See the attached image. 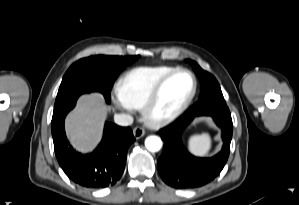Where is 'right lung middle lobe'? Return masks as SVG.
<instances>
[{"instance_id": "right-lung-middle-lobe-1", "label": "right lung middle lobe", "mask_w": 299, "mask_h": 205, "mask_svg": "<svg viewBox=\"0 0 299 205\" xmlns=\"http://www.w3.org/2000/svg\"><path fill=\"white\" fill-rule=\"evenodd\" d=\"M139 57L140 55L127 57L97 55L75 62L62 79L53 113L76 101L83 93L97 91L110 101L114 79Z\"/></svg>"}]
</instances>
